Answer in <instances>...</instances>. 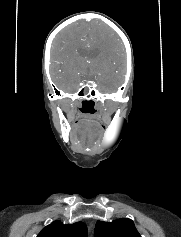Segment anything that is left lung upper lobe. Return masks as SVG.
<instances>
[{
	"mask_svg": "<svg viewBox=\"0 0 181 237\" xmlns=\"http://www.w3.org/2000/svg\"><path fill=\"white\" fill-rule=\"evenodd\" d=\"M94 237H141L133 221L128 218L112 222L97 221Z\"/></svg>",
	"mask_w": 181,
	"mask_h": 237,
	"instance_id": "1",
	"label": "left lung upper lobe"
}]
</instances>
